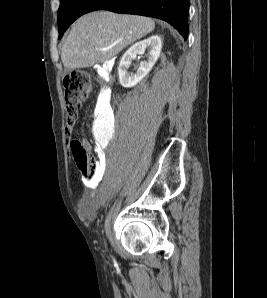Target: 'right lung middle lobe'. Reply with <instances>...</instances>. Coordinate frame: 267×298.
Here are the masks:
<instances>
[{"instance_id": "obj_1", "label": "right lung middle lobe", "mask_w": 267, "mask_h": 298, "mask_svg": "<svg viewBox=\"0 0 267 298\" xmlns=\"http://www.w3.org/2000/svg\"><path fill=\"white\" fill-rule=\"evenodd\" d=\"M98 0H60L58 10L59 39L65 30L81 15L90 12Z\"/></svg>"}]
</instances>
